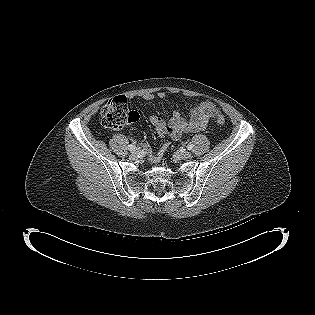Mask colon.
Here are the masks:
<instances>
[{
  "instance_id": "5ec220e1",
  "label": "colon",
  "mask_w": 315,
  "mask_h": 315,
  "mask_svg": "<svg viewBox=\"0 0 315 315\" xmlns=\"http://www.w3.org/2000/svg\"><path fill=\"white\" fill-rule=\"evenodd\" d=\"M138 114L128 109L125 97L119 96L110 100L101 109V120L103 125L109 129H120L127 124L136 122ZM216 122L224 124L225 119L222 114L215 112Z\"/></svg>"
}]
</instances>
